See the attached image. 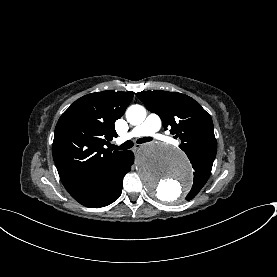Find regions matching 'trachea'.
Listing matches in <instances>:
<instances>
[{
  "label": "trachea",
  "instance_id": "obj_1",
  "mask_svg": "<svg viewBox=\"0 0 277 277\" xmlns=\"http://www.w3.org/2000/svg\"><path fill=\"white\" fill-rule=\"evenodd\" d=\"M153 138L151 137H144V138H140L137 140V143H146V142H149V141H152ZM134 146V143L131 141V140H128L126 141L125 143H123L122 145L120 146H116V145H112L110 144L109 148L111 150H114V149H117V150H127V149H130Z\"/></svg>",
  "mask_w": 277,
  "mask_h": 277
}]
</instances>
